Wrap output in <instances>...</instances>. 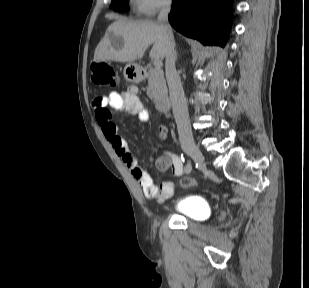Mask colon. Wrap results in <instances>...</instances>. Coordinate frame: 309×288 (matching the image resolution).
I'll return each instance as SVG.
<instances>
[{"mask_svg": "<svg viewBox=\"0 0 309 288\" xmlns=\"http://www.w3.org/2000/svg\"><path fill=\"white\" fill-rule=\"evenodd\" d=\"M94 81L99 85L115 86L117 77L114 69L105 63H96L94 65ZM180 185L183 187H190L196 185L194 179L184 177L180 180Z\"/></svg>", "mask_w": 309, "mask_h": 288, "instance_id": "1", "label": "colon"}]
</instances>
